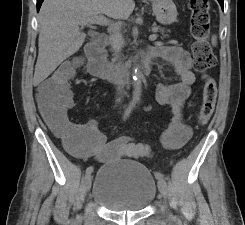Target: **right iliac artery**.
Returning a JSON list of instances; mask_svg holds the SVG:
<instances>
[{"mask_svg":"<svg viewBox=\"0 0 245 225\" xmlns=\"http://www.w3.org/2000/svg\"><path fill=\"white\" fill-rule=\"evenodd\" d=\"M134 106H135V104L133 103V102H131L130 104H129V106H128V108L126 109V111H125V113H124V115H123V121H125L129 116H130V114H131V112H132V109L134 108ZM93 167L92 166H89L87 169H86V173L87 174H90V173H92L93 172Z\"/></svg>","mask_w":245,"mask_h":225,"instance_id":"1","label":"right iliac artery"}]
</instances>
